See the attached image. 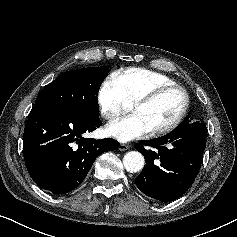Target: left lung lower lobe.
Segmentation results:
<instances>
[{
    "label": "left lung lower lobe",
    "mask_w": 237,
    "mask_h": 237,
    "mask_svg": "<svg viewBox=\"0 0 237 237\" xmlns=\"http://www.w3.org/2000/svg\"><path fill=\"white\" fill-rule=\"evenodd\" d=\"M206 138V125L187 116L168 135L136 144L135 149L146 160L145 168L135 179L138 189L162 202L182 196L198 175Z\"/></svg>",
    "instance_id": "0a47b994"
}]
</instances>
